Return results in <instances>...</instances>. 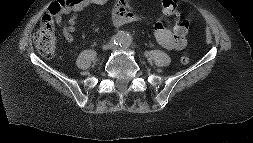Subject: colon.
<instances>
[{
  "mask_svg": "<svg viewBox=\"0 0 253 143\" xmlns=\"http://www.w3.org/2000/svg\"><path fill=\"white\" fill-rule=\"evenodd\" d=\"M76 3V0H57L55 1L50 10L41 21L39 28L34 33V43L38 52L46 57H52L56 50V39H55V27L52 17L57 15L61 8L65 6H72ZM177 6H172V10H176ZM189 29V22L186 19H181L177 26V33L186 36ZM181 63L188 64L190 57L187 53H184L180 58Z\"/></svg>",
  "mask_w": 253,
  "mask_h": 143,
  "instance_id": "1",
  "label": "colon"
}]
</instances>
